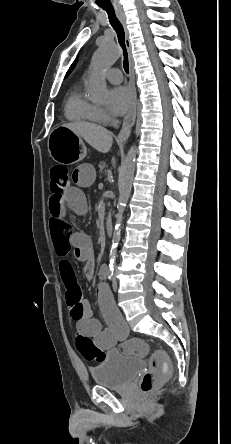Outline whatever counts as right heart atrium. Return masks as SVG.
Returning <instances> with one entry per match:
<instances>
[{
  "instance_id": "1",
  "label": "right heart atrium",
  "mask_w": 231,
  "mask_h": 444,
  "mask_svg": "<svg viewBox=\"0 0 231 444\" xmlns=\"http://www.w3.org/2000/svg\"><path fill=\"white\" fill-rule=\"evenodd\" d=\"M95 112L98 121L106 122L110 119V115L103 107L95 106Z\"/></svg>"
}]
</instances>
